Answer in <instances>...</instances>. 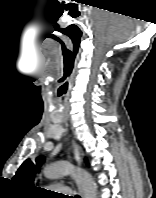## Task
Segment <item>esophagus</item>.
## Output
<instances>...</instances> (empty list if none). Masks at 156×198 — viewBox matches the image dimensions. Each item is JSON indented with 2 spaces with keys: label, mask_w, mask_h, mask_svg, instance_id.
<instances>
[{
  "label": "esophagus",
  "mask_w": 156,
  "mask_h": 198,
  "mask_svg": "<svg viewBox=\"0 0 156 198\" xmlns=\"http://www.w3.org/2000/svg\"><path fill=\"white\" fill-rule=\"evenodd\" d=\"M73 149H74L75 160L80 165L82 162L80 148L78 147V145L76 143H73Z\"/></svg>",
  "instance_id": "esophagus-1"
}]
</instances>
